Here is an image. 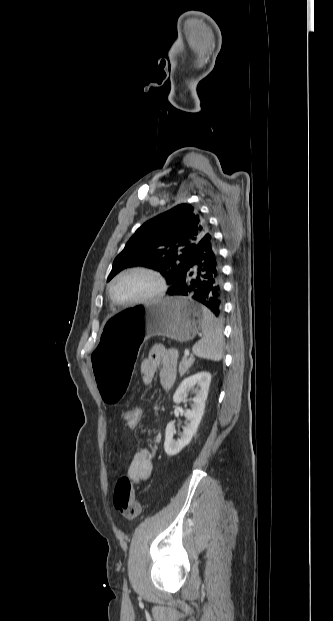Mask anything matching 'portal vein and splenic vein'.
<instances>
[{"mask_svg": "<svg viewBox=\"0 0 333 621\" xmlns=\"http://www.w3.org/2000/svg\"><path fill=\"white\" fill-rule=\"evenodd\" d=\"M189 354H190L189 350H185V351H184V355H185V356H189Z\"/></svg>", "mask_w": 333, "mask_h": 621, "instance_id": "1", "label": "portal vein and splenic vein"}]
</instances>
